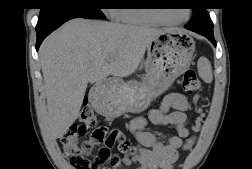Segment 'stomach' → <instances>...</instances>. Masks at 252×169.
<instances>
[{
    "label": "stomach",
    "instance_id": "obj_1",
    "mask_svg": "<svg viewBox=\"0 0 252 169\" xmlns=\"http://www.w3.org/2000/svg\"><path fill=\"white\" fill-rule=\"evenodd\" d=\"M195 41L181 30H165L147 47L145 75L141 82L105 81L95 87L92 104L108 117L140 113L164 93L190 66Z\"/></svg>",
    "mask_w": 252,
    "mask_h": 169
}]
</instances>
